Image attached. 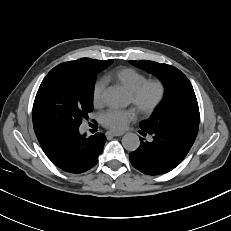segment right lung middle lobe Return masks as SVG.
I'll use <instances>...</instances> for the list:
<instances>
[{
  "mask_svg": "<svg viewBox=\"0 0 231 231\" xmlns=\"http://www.w3.org/2000/svg\"><path fill=\"white\" fill-rule=\"evenodd\" d=\"M113 62L102 61L94 68L79 69L70 63L53 68L42 81L33 105V126L47 129H79L92 111L96 74Z\"/></svg>",
  "mask_w": 231,
  "mask_h": 231,
  "instance_id": "dd1d6c3e",
  "label": "right lung middle lobe"
}]
</instances>
